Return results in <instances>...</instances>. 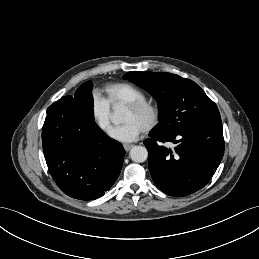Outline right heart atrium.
<instances>
[{
    "instance_id": "obj_1",
    "label": "right heart atrium",
    "mask_w": 259,
    "mask_h": 259,
    "mask_svg": "<svg viewBox=\"0 0 259 259\" xmlns=\"http://www.w3.org/2000/svg\"><path fill=\"white\" fill-rule=\"evenodd\" d=\"M91 115L98 128L107 133L110 130L112 111L108 101L98 93L91 97Z\"/></svg>"
}]
</instances>
